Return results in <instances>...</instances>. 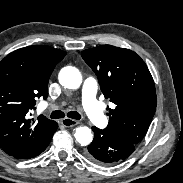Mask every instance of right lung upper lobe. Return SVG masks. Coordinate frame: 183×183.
Instances as JSON below:
<instances>
[{"instance_id": "1", "label": "right lung upper lobe", "mask_w": 183, "mask_h": 183, "mask_svg": "<svg viewBox=\"0 0 183 183\" xmlns=\"http://www.w3.org/2000/svg\"><path fill=\"white\" fill-rule=\"evenodd\" d=\"M66 54L48 46H28L0 62V147L8 155L34 157L51 133L55 121L29 115L37 98H47L49 77Z\"/></svg>"}]
</instances>
